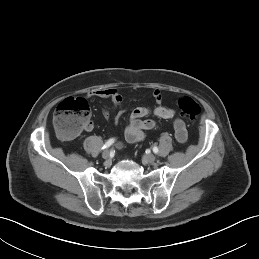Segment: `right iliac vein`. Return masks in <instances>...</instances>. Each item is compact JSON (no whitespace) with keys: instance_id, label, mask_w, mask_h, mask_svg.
Returning <instances> with one entry per match:
<instances>
[{"instance_id":"right-iliac-vein-1","label":"right iliac vein","mask_w":259,"mask_h":259,"mask_svg":"<svg viewBox=\"0 0 259 259\" xmlns=\"http://www.w3.org/2000/svg\"><path fill=\"white\" fill-rule=\"evenodd\" d=\"M103 159H105V166L109 167L111 165L110 153L108 150L102 153Z\"/></svg>"}]
</instances>
